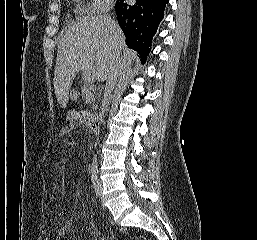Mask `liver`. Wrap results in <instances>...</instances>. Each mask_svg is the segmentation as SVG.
Segmentation results:
<instances>
[{
    "label": "liver",
    "instance_id": "liver-1",
    "mask_svg": "<svg viewBox=\"0 0 257 240\" xmlns=\"http://www.w3.org/2000/svg\"><path fill=\"white\" fill-rule=\"evenodd\" d=\"M112 21L107 16L84 17L65 29L58 44L54 71V89L61 107L65 108L68 103L69 91L77 73L83 72L85 78L92 75V80L97 81L108 78L115 53L109 28ZM115 25L121 55L130 57L132 52L125 47V37L117 23Z\"/></svg>",
    "mask_w": 257,
    "mask_h": 240
}]
</instances>
